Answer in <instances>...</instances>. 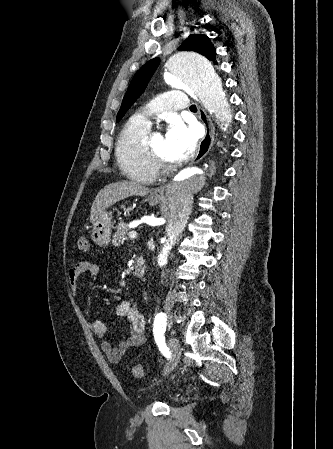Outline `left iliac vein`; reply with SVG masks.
<instances>
[{
    "label": "left iliac vein",
    "mask_w": 333,
    "mask_h": 449,
    "mask_svg": "<svg viewBox=\"0 0 333 449\" xmlns=\"http://www.w3.org/2000/svg\"><path fill=\"white\" fill-rule=\"evenodd\" d=\"M169 348L172 354V364L165 370V374L172 372L181 358V347L178 338L172 337L169 339Z\"/></svg>",
    "instance_id": "4c4485c4"
}]
</instances>
